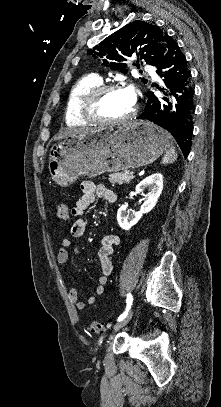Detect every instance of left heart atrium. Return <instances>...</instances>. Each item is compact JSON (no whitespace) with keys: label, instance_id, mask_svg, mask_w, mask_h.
Returning <instances> with one entry per match:
<instances>
[{"label":"left heart atrium","instance_id":"obj_1","mask_svg":"<svg viewBox=\"0 0 221 407\" xmlns=\"http://www.w3.org/2000/svg\"><path fill=\"white\" fill-rule=\"evenodd\" d=\"M124 90L128 94L129 98L132 100V102L135 103L136 101L135 89L132 86H128Z\"/></svg>","mask_w":221,"mask_h":407}]
</instances>
